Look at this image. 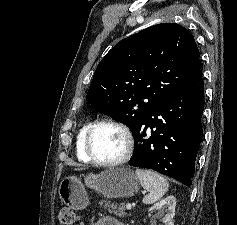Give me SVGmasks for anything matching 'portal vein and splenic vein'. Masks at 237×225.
<instances>
[{"label":"portal vein and splenic vein","instance_id":"obj_1","mask_svg":"<svg viewBox=\"0 0 237 225\" xmlns=\"http://www.w3.org/2000/svg\"><path fill=\"white\" fill-rule=\"evenodd\" d=\"M126 208L128 209V210H130L131 208H132V206H131V204H126Z\"/></svg>","mask_w":237,"mask_h":225}]
</instances>
